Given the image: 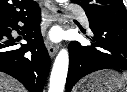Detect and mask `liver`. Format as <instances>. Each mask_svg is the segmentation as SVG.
<instances>
[{"instance_id":"1","label":"liver","mask_w":127,"mask_h":92,"mask_svg":"<svg viewBox=\"0 0 127 92\" xmlns=\"http://www.w3.org/2000/svg\"><path fill=\"white\" fill-rule=\"evenodd\" d=\"M0 92H27V90L19 81L0 72Z\"/></svg>"}]
</instances>
